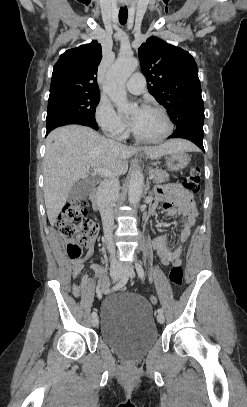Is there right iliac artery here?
<instances>
[{"label": "right iliac artery", "mask_w": 247, "mask_h": 407, "mask_svg": "<svg viewBox=\"0 0 247 407\" xmlns=\"http://www.w3.org/2000/svg\"><path fill=\"white\" fill-rule=\"evenodd\" d=\"M129 276L127 274H124L121 278V280L113 286L112 291H116L119 290L120 288H122L123 286L126 285V283L128 282ZM92 317H96L97 313L95 311L92 312Z\"/></svg>", "instance_id": "right-iliac-artery-1"}]
</instances>
